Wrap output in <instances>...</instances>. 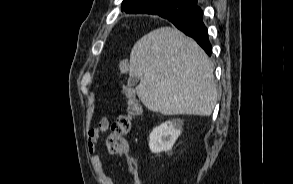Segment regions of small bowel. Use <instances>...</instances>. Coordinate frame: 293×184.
Instances as JSON below:
<instances>
[{
	"instance_id": "1",
	"label": "small bowel",
	"mask_w": 293,
	"mask_h": 184,
	"mask_svg": "<svg viewBox=\"0 0 293 184\" xmlns=\"http://www.w3.org/2000/svg\"><path fill=\"white\" fill-rule=\"evenodd\" d=\"M110 122L106 116L100 118L96 127L89 130L87 134L88 151L91 154L92 165L98 175L100 184H116L115 181L109 177L103 168V163L98 155L97 142L104 132L109 128ZM126 148V145H125ZM125 160L128 167V172L132 181V184H141L139 170L135 159L128 153L126 148Z\"/></svg>"
}]
</instances>
